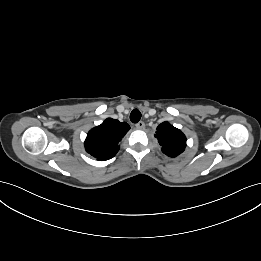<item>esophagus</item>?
<instances>
[{
	"instance_id": "esophagus-1",
	"label": "esophagus",
	"mask_w": 261,
	"mask_h": 261,
	"mask_svg": "<svg viewBox=\"0 0 261 261\" xmlns=\"http://www.w3.org/2000/svg\"><path fill=\"white\" fill-rule=\"evenodd\" d=\"M145 127V123L143 121H139L137 124H136V128L137 129H143Z\"/></svg>"
}]
</instances>
